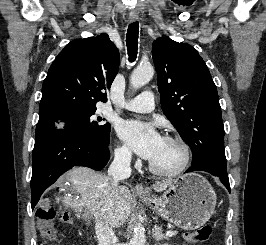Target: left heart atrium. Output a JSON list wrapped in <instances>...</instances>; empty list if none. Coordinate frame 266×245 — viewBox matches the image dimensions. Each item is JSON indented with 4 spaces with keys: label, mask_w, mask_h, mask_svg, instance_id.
<instances>
[{
    "label": "left heart atrium",
    "mask_w": 266,
    "mask_h": 245,
    "mask_svg": "<svg viewBox=\"0 0 266 245\" xmlns=\"http://www.w3.org/2000/svg\"><path fill=\"white\" fill-rule=\"evenodd\" d=\"M116 131L121 140L129 145L137 155L151 162L159 151L164 137L152 123L120 121Z\"/></svg>",
    "instance_id": "39dd6f15"
}]
</instances>
